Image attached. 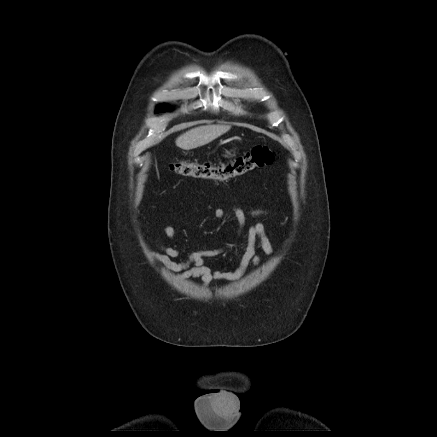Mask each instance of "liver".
I'll use <instances>...</instances> for the list:
<instances>
[{
  "instance_id": "liver-1",
  "label": "liver",
  "mask_w": 437,
  "mask_h": 437,
  "mask_svg": "<svg viewBox=\"0 0 437 437\" xmlns=\"http://www.w3.org/2000/svg\"><path fill=\"white\" fill-rule=\"evenodd\" d=\"M229 125H206L188 130L176 139V145L183 150L204 146L230 130Z\"/></svg>"
}]
</instances>
